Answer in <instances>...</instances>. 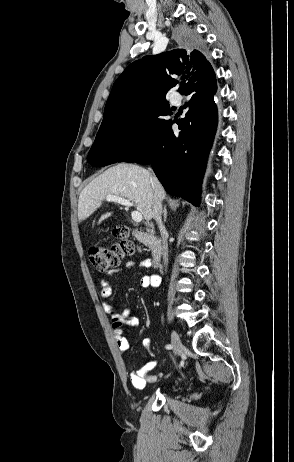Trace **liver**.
<instances>
[{
    "label": "liver",
    "mask_w": 294,
    "mask_h": 462,
    "mask_svg": "<svg viewBox=\"0 0 294 462\" xmlns=\"http://www.w3.org/2000/svg\"><path fill=\"white\" fill-rule=\"evenodd\" d=\"M108 195L131 200L146 221L152 219L154 195L161 201L166 196L161 183L149 171L138 165L121 163L104 171L82 190L78 201L79 221L82 222L100 208ZM111 215L112 212L103 214L98 224Z\"/></svg>",
    "instance_id": "obj_1"
}]
</instances>
